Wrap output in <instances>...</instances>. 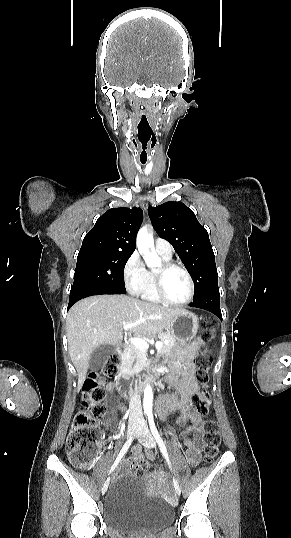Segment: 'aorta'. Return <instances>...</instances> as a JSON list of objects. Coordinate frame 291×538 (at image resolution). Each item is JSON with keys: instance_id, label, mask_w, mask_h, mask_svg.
Segmentation results:
<instances>
[{"instance_id": "aorta-1", "label": "aorta", "mask_w": 291, "mask_h": 538, "mask_svg": "<svg viewBox=\"0 0 291 538\" xmlns=\"http://www.w3.org/2000/svg\"><path fill=\"white\" fill-rule=\"evenodd\" d=\"M152 243V237L149 234L147 227H142L137 235V247L140 254L143 255L146 265L150 268L156 267L159 264L156 254L149 251V246ZM153 406V391L152 387L147 384L144 389L143 409L146 414L152 413Z\"/></svg>"}]
</instances>
